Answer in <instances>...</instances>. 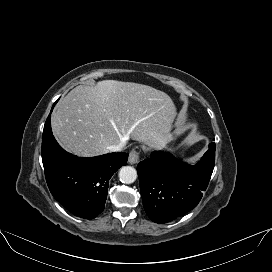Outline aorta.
Listing matches in <instances>:
<instances>
[{"label": "aorta", "mask_w": 272, "mask_h": 272, "mask_svg": "<svg viewBox=\"0 0 272 272\" xmlns=\"http://www.w3.org/2000/svg\"><path fill=\"white\" fill-rule=\"evenodd\" d=\"M120 181L124 184H131L137 178L136 169L131 166H123L119 171Z\"/></svg>", "instance_id": "1"}]
</instances>
